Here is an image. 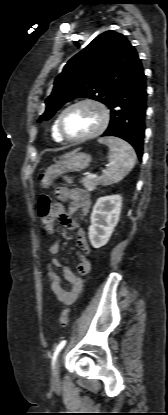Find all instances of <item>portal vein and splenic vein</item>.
<instances>
[{"instance_id":"18ae733b","label":"portal vein and splenic vein","mask_w":168,"mask_h":415,"mask_svg":"<svg viewBox=\"0 0 168 415\" xmlns=\"http://www.w3.org/2000/svg\"><path fill=\"white\" fill-rule=\"evenodd\" d=\"M102 171L104 172V170H102ZM88 177L94 178V177H96V174L89 173V174H88Z\"/></svg>"}]
</instances>
